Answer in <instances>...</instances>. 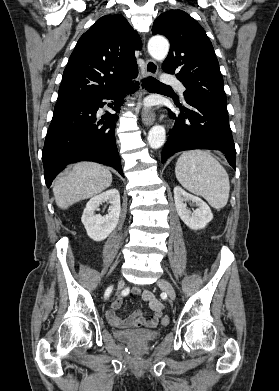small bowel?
Masks as SVG:
<instances>
[{
	"label": "small bowel",
	"instance_id": "c3829d8e",
	"mask_svg": "<svg viewBox=\"0 0 279 391\" xmlns=\"http://www.w3.org/2000/svg\"><path fill=\"white\" fill-rule=\"evenodd\" d=\"M129 295H141L142 299L149 304L152 311L150 318L145 319L142 316L141 311H134L127 318H119L116 315V310L122 306V298L116 299L111 307L106 311L105 316L108 322L117 328H154L158 325L159 319L162 314L163 305L162 303L148 290H140L133 288L129 291Z\"/></svg>",
	"mask_w": 279,
	"mask_h": 391
}]
</instances>
